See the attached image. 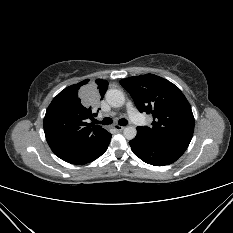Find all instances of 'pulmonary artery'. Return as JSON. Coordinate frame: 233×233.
<instances>
[{"label": "pulmonary artery", "instance_id": "pulmonary-artery-1", "mask_svg": "<svg viewBox=\"0 0 233 233\" xmlns=\"http://www.w3.org/2000/svg\"><path fill=\"white\" fill-rule=\"evenodd\" d=\"M127 111L128 115L131 118V120L138 125H142L145 123L144 118L141 116V114L136 110L134 105L131 102L127 103Z\"/></svg>", "mask_w": 233, "mask_h": 233}]
</instances>
